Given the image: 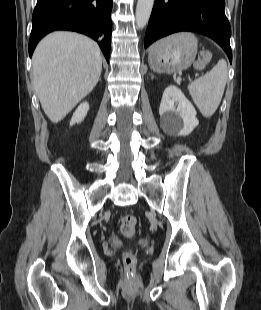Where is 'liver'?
<instances>
[{
	"instance_id": "1",
	"label": "liver",
	"mask_w": 261,
	"mask_h": 310,
	"mask_svg": "<svg viewBox=\"0 0 261 310\" xmlns=\"http://www.w3.org/2000/svg\"><path fill=\"white\" fill-rule=\"evenodd\" d=\"M101 71V51L89 37L67 31L44 37L35 49L32 72L47 117L61 121L93 90Z\"/></svg>"
}]
</instances>
